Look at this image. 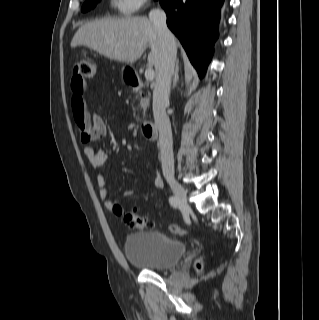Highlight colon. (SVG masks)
Wrapping results in <instances>:
<instances>
[{
	"instance_id": "1",
	"label": "colon",
	"mask_w": 319,
	"mask_h": 320,
	"mask_svg": "<svg viewBox=\"0 0 319 320\" xmlns=\"http://www.w3.org/2000/svg\"><path fill=\"white\" fill-rule=\"evenodd\" d=\"M74 78L83 84L86 81L93 80L97 72V64L93 59L84 58L78 60L74 65ZM74 119L78 127L79 136L82 142L87 143L93 140L91 126L83 113H75ZM115 214L120 216L126 227L130 229H145L152 227L147 216H141L134 211H125L122 206L115 204L113 206ZM169 231L173 234L184 235L186 231L176 224L169 225ZM200 267V265H198Z\"/></svg>"
}]
</instances>
